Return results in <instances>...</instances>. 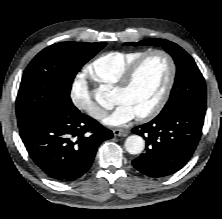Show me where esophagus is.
<instances>
[{"label":"esophagus","instance_id":"1","mask_svg":"<svg viewBox=\"0 0 222 219\" xmlns=\"http://www.w3.org/2000/svg\"><path fill=\"white\" fill-rule=\"evenodd\" d=\"M129 133L127 129L115 128L113 129L114 136H126Z\"/></svg>","mask_w":222,"mask_h":219}]
</instances>
